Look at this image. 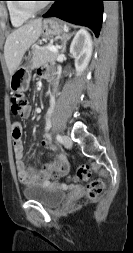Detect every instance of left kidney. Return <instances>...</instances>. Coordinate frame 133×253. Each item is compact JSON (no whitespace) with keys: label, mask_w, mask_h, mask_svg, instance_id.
<instances>
[{"label":"left kidney","mask_w":133,"mask_h":253,"mask_svg":"<svg viewBox=\"0 0 133 253\" xmlns=\"http://www.w3.org/2000/svg\"><path fill=\"white\" fill-rule=\"evenodd\" d=\"M93 50V42L90 34L85 29H80L74 36L70 45V53L75 59L77 75H80L87 67Z\"/></svg>","instance_id":"obj_1"}]
</instances>
